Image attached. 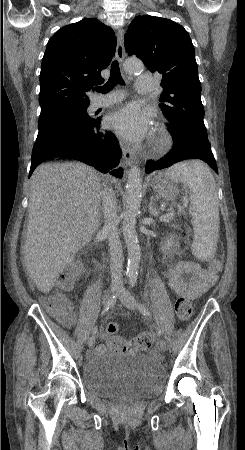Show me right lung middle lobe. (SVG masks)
<instances>
[{"label":"right lung middle lobe","mask_w":245,"mask_h":450,"mask_svg":"<svg viewBox=\"0 0 245 450\" xmlns=\"http://www.w3.org/2000/svg\"><path fill=\"white\" fill-rule=\"evenodd\" d=\"M88 105L59 106L42 110L39 117V132L36 146L56 137L60 130L80 127L91 120L87 114Z\"/></svg>","instance_id":"dd1d6c3e"}]
</instances>
